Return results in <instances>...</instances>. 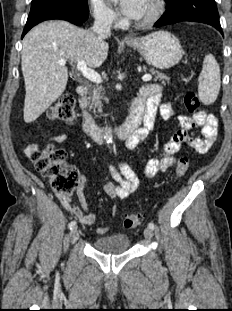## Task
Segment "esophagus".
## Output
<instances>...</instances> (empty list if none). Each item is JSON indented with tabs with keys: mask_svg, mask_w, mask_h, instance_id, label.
<instances>
[{
	"mask_svg": "<svg viewBox=\"0 0 232 311\" xmlns=\"http://www.w3.org/2000/svg\"><path fill=\"white\" fill-rule=\"evenodd\" d=\"M124 40L125 41H134V40H136L133 36H125L124 37Z\"/></svg>",
	"mask_w": 232,
	"mask_h": 311,
	"instance_id": "1",
	"label": "esophagus"
}]
</instances>
